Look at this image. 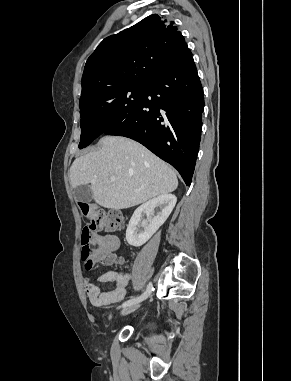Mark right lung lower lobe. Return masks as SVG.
<instances>
[{
	"mask_svg": "<svg viewBox=\"0 0 291 381\" xmlns=\"http://www.w3.org/2000/svg\"><path fill=\"white\" fill-rule=\"evenodd\" d=\"M203 89L191 51L186 48L146 83L137 110L104 132L138 141L191 184L199 150Z\"/></svg>",
	"mask_w": 291,
	"mask_h": 381,
	"instance_id": "right-lung-lower-lobe-1",
	"label": "right lung lower lobe"
}]
</instances>
